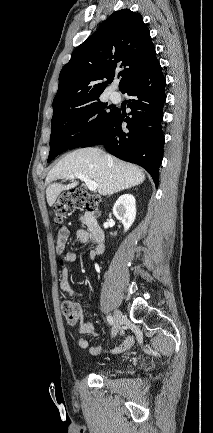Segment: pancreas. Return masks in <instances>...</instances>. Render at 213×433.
Returning <instances> with one entry per match:
<instances>
[{
	"mask_svg": "<svg viewBox=\"0 0 213 433\" xmlns=\"http://www.w3.org/2000/svg\"><path fill=\"white\" fill-rule=\"evenodd\" d=\"M89 216H90L89 213H85L84 216H81V217H80L81 222H82L83 224H86V223H87V218H88Z\"/></svg>",
	"mask_w": 213,
	"mask_h": 433,
	"instance_id": "obj_1",
	"label": "pancreas"
}]
</instances>
